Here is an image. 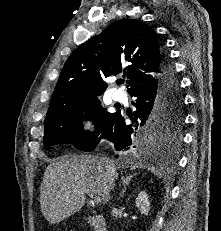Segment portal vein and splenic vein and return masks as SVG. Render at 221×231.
I'll list each match as a JSON object with an SVG mask.
<instances>
[{
	"instance_id": "portal-vein-and-splenic-vein-1",
	"label": "portal vein and splenic vein",
	"mask_w": 221,
	"mask_h": 231,
	"mask_svg": "<svg viewBox=\"0 0 221 231\" xmlns=\"http://www.w3.org/2000/svg\"><path fill=\"white\" fill-rule=\"evenodd\" d=\"M86 194H88V196L92 199L93 202L97 204L101 202V198L99 196H95L94 194H91L88 191H86Z\"/></svg>"
}]
</instances>
